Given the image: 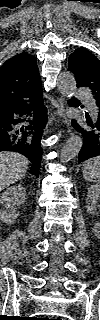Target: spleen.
Here are the masks:
<instances>
[{
    "instance_id": "spleen-1",
    "label": "spleen",
    "mask_w": 100,
    "mask_h": 320,
    "mask_svg": "<svg viewBox=\"0 0 100 320\" xmlns=\"http://www.w3.org/2000/svg\"><path fill=\"white\" fill-rule=\"evenodd\" d=\"M83 178L93 183L100 182V158L94 157L83 163Z\"/></svg>"
}]
</instances>
